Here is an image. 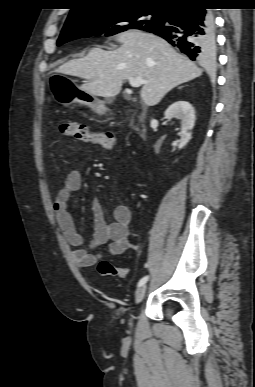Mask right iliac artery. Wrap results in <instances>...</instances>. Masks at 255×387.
<instances>
[{"label":"right iliac artery","instance_id":"82829eb1","mask_svg":"<svg viewBox=\"0 0 255 387\" xmlns=\"http://www.w3.org/2000/svg\"><path fill=\"white\" fill-rule=\"evenodd\" d=\"M148 279H149V276H145V277L141 278L140 281L138 282L137 286L140 287V286L144 285L148 281Z\"/></svg>","mask_w":255,"mask_h":387}]
</instances>
